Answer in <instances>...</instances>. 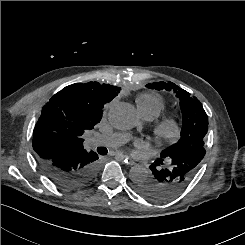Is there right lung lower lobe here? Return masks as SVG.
<instances>
[{
    "instance_id": "98d812e1",
    "label": "right lung lower lobe",
    "mask_w": 245,
    "mask_h": 245,
    "mask_svg": "<svg viewBox=\"0 0 245 245\" xmlns=\"http://www.w3.org/2000/svg\"><path fill=\"white\" fill-rule=\"evenodd\" d=\"M98 155L86 150H68L49 161L38 160L47 177L59 187L74 190L94 179Z\"/></svg>"
}]
</instances>
